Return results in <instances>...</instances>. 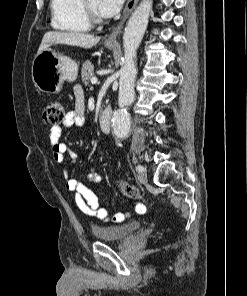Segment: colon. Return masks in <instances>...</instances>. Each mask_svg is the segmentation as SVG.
<instances>
[{
  "label": "colon",
  "mask_w": 247,
  "mask_h": 296,
  "mask_svg": "<svg viewBox=\"0 0 247 296\" xmlns=\"http://www.w3.org/2000/svg\"><path fill=\"white\" fill-rule=\"evenodd\" d=\"M65 119V109L62 106L61 103L52 101L47 104L44 110V120L47 124L53 125V126H58L60 125ZM120 188L123 192V194L130 198V199H135V200H141V201H146L141 193L138 191V189L125 180L121 179L119 181ZM144 208L142 206V211Z\"/></svg>",
  "instance_id": "5ec220e1"
}]
</instances>
